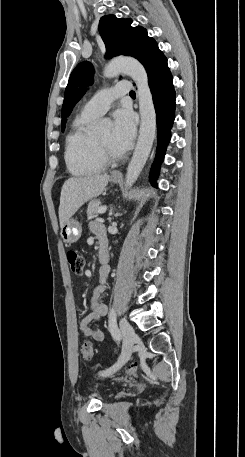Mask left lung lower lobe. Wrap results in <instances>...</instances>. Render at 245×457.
<instances>
[{
	"mask_svg": "<svg viewBox=\"0 0 245 457\" xmlns=\"http://www.w3.org/2000/svg\"><path fill=\"white\" fill-rule=\"evenodd\" d=\"M148 75V83L152 93L156 111L158 144L156 156L151 168L150 179L152 185L156 186V178L163 161L166 147L171 138V128L175 119V90L173 77L167 65V59L159 50L151 52L142 61Z\"/></svg>",
	"mask_w": 245,
	"mask_h": 457,
	"instance_id": "obj_1",
	"label": "left lung lower lobe"
}]
</instances>
